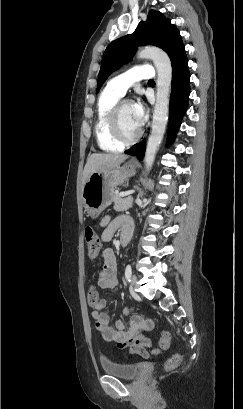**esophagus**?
<instances>
[{
	"mask_svg": "<svg viewBox=\"0 0 243 409\" xmlns=\"http://www.w3.org/2000/svg\"><path fill=\"white\" fill-rule=\"evenodd\" d=\"M131 162H132V163H135V162H136V158H132V159H131Z\"/></svg>",
	"mask_w": 243,
	"mask_h": 409,
	"instance_id": "obj_1",
	"label": "esophagus"
}]
</instances>
